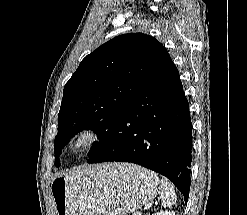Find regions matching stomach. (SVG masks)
<instances>
[{
	"label": "stomach",
	"mask_w": 247,
	"mask_h": 215,
	"mask_svg": "<svg viewBox=\"0 0 247 215\" xmlns=\"http://www.w3.org/2000/svg\"><path fill=\"white\" fill-rule=\"evenodd\" d=\"M85 168L51 181L57 215H126L153 200L158 177L132 164Z\"/></svg>",
	"instance_id": "0dacf381"
}]
</instances>
